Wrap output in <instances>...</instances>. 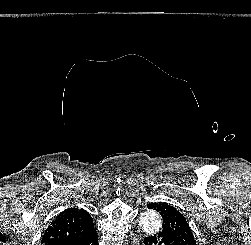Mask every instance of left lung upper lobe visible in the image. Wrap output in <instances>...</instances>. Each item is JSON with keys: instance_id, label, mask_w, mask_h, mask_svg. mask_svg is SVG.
<instances>
[{"instance_id": "obj_1", "label": "left lung upper lobe", "mask_w": 251, "mask_h": 245, "mask_svg": "<svg viewBox=\"0 0 251 245\" xmlns=\"http://www.w3.org/2000/svg\"><path fill=\"white\" fill-rule=\"evenodd\" d=\"M148 208L156 210L163 218V229L160 233H168L181 245H196L189 224L177 209L162 202L151 203Z\"/></svg>"}]
</instances>
